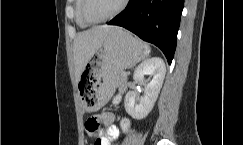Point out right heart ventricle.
<instances>
[{"instance_id": "1", "label": "right heart ventricle", "mask_w": 243, "mask_h": 145, "mask_svg": "<svg viewBox=\"0 0 243 145\" xmlns=\"http://www.w3.org/2000/svg\"><path fill=\"white\" fill-rule=\"evenodd\" d=\"M81 5L82 0H75V20L79 27L87 28L89 24H87L81 16Z\"/></svg>"}]
</instances>
